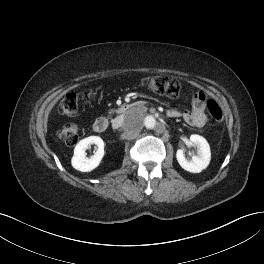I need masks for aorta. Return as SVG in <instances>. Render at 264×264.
Instances as JSON below:
<instances>
[{"instance_id":"obj_1","label":"aorta","mask_w":264,"mask_h":264,"mask_svg":"<svg viewBox=\"0 0 264 264\" xmlns=\"http://www.w3.org/2000/svg\"><path fill=\"white\" fill-rule=\"evenodd\" d=\"M142 123L147 129H154L157 126V122L153 116H146Z\"/></svg>"}]
</instances>
